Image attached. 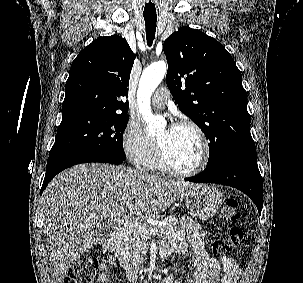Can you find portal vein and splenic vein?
Wrapping results in <instances>:
<instances>
[{"mask_svg": "<svg viewBox=\"0 0 303 283\" xmlns=\"http://www.w3.org/2000/svg\"><path fill=\"white\" fill-rule=\"evenodd\" d=\"M110 219H111V221L119 223L121 225H124L125 227L128 226V225H131V224L138 225V223H134V222H131V221L126 220V219L125 220L124 219H120V218H117L115 216H111ZM161 224H162V222L159 223V225H161ZM149 232L151 234H156L158 232V230L157 229H151V230H149Z\"/></svg>", "mask_w": 303, "mask_h": 283, "instance_id": "18ae733b", "label": "portal vein and splenic vein"}]
</instances>
